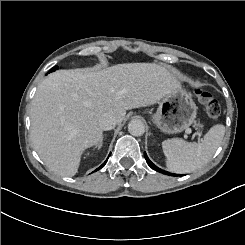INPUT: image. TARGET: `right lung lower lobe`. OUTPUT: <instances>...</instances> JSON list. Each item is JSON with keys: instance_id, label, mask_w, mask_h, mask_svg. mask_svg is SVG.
<instances>
[{"instance_id": "right-lung-lower-lobe-1", "label": "right lung lower lobe", "mask_w": 245, "mask_h": 245, "mask_svg": "<svg viewBox=\"0 0 245 245\" xmlns=\"http://www.w3.org/2000/svg\"><path fill=\"white\" fill-rule=\"evenodd\" d=\"M107 162V160L99 167V168H97L95 171H97V170H99L100 168H102L104 165H105V163Z\"/></svg>"}]
</instances>
